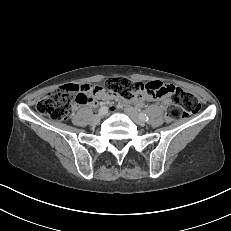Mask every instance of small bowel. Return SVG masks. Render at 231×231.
<instances>
[{
  "label": "small bowel",
  "instance_id": "small-bowel-1",
  "mask_svg": "<svg viewBox=\"0 0 231 231\" xmlns=\"http://www.w3.org/2000/svg\"><path fill=\"white\" fill-rule=\"evenodd\" d=\"M174 86L171 84H164L162 87L161 93H154L149 90H144L134 99L132 102L137 106H142L145 101H160L166 104L169 101L171 95V88ZM81 91L87 96V101L83 104L95 106L98 104V101H110L113 100L116 96L112 93L105 91L102 87L99 86H90L83 85ZM80 104V103H79Z\"/></svg>",
  "mask_w": 231,
  "mask_h": 231
}]
</instances>
